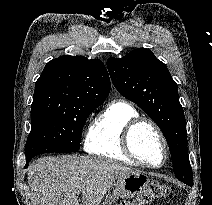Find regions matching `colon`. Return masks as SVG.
Masks as SVG:
<instances>
[{"label":"colon","mask_w":212,"mask_h":205,"mask_svg":"<svg viewBox=\"0 0 212 205\" xmlns=\"http://www.w3.org/2000/svg\"><path fill=\"white\" fill-rule=\"evenodd\" d=\"M172 190L160 182H151L133 201H122L119 205H148L156 200L171 199Z\"/></svg>","instance_id":"colon-1"}]
</instances>
